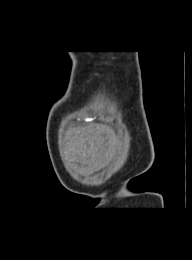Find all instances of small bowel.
<instances>
[{"mask_svg":"<svg viewBox=\"0 0 192 260\" xmlns=\"http://www.w3.org/2000/svg\"><path fill=\"white\" fill-rule=\"evenodd\" d=\"M79 142V152L83 157H90L97 151V143L95 139L84 131H79L77 136Z\"/></svg>","mask_w":192,"mask_h":260,"instance_id":"obj_1","label":"small bowel"}]
</instances>
